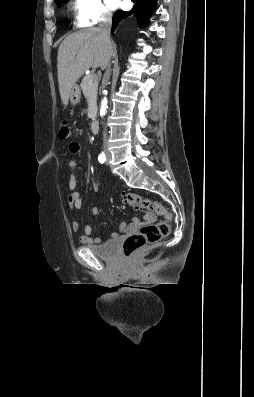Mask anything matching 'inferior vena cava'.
I'll return each instance as SVG.
<instances>
[{"label": "inferior vena cava", "instance_id": "inferior-vena-cava-1", "mask_svg": "<svg viewBox=\"0 0 254 397\" xmlns=\"http://www.w3.org/2000/svg\"><path fill=\"white\" fill-rule=\"evenodd\" d=\"M111 24H112V19H111V15L105 13L102 17V20L99 24V33L102 37V40L104 41V43L106 45H110L111 41H110V30H111ZM110 59L108 61V64L106 66V71H105V82L108 83L109 78H110ZM103 145L104 148H106L107 145V133H106V129L103 132Z\"/></svg>", "mask_w": 254, "mask_h": 397}]
</instances>
